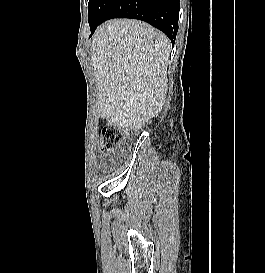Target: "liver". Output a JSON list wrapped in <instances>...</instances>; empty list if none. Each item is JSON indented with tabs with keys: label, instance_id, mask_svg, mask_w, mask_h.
Here are the masks:
<instances>
[{
	"label": "liver",
	"instance_id": "obj_1",
	"mask_svg": "<svg viewBox=\"0 0 265 273\" xmlns=\"http://www.w3.org/2000/svg\"><path fill=\"white\" fill-rule=\"evenodd\" d=\"M171 49L147 23L115 19L95 32L91 57L98 82V112L110 124L138 131L163 107Z\"/></svg>",
	"mask_w": 265,
	"mask_h": 273
}]
</instances>
